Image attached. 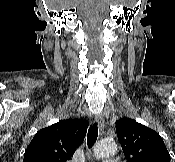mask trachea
<instances>
[{
    "label": "trachea",
    "mask_w": 175,
    "mask_h": 162,
    "mask_svg": "<svg viewBox=\"0 0 175 162\" xmlns=\"http://www.w3.org/2000/svg\"><path fill=\"white\" fill-rule=\"evenodd\" d=\"M97 137H98V126L95 123L94 125L90 126L87 134V145L89 149L94 145V143L97 140Z\"/></svg>",
    "instance_id": "obj_1"
}]
</instances>
